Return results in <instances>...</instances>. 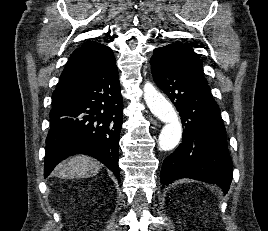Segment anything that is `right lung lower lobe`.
Here are the masks:
<instances>
[{"mask_svg": "<svg viewBox=\"0 0 268 231\" xmlns=\"http://www.w3.org/2000/svg\"><path fill=\"white\" fill-rule=\"evenodd\" d=\"M73 91L70 99L50 111L44 177L61 160L82 153L101 161L120 181L118 146L123 100L116 61Z\"/></svg>", "mask_w": 268, "mask_h": 231, "instance_id": "1", "label": "right lung lower lobe"}]
</instances>
